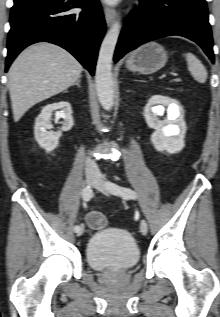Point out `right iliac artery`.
<instances>
[{"label": "right iliac artery", "instance_id": "obj_1", "mask_svg": "<svg viewBox=\"0 0 220 317\" xmlns=\"http://www.w3.org/2000/svg\"><path fill=\"white\" fill-rule=\"evenodd\" d=\"M92 197V188L90 186H86L82 191V198L85 202H88ZM80 229V226H74V231L77 232Z\"/></svg>", "mask_w": 220, "mask_h": 317}]
</instances>
